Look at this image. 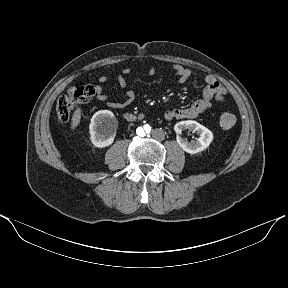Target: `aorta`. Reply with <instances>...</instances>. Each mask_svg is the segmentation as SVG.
<instances>
[{"label": "aorta", "mask_w": 288, "mask_h": 288, "mask_svg": "<svg viewBox=\"0 0 288 288\" xmlns=\"http://www.w3.org/2000/svg\"><path fill=\"white\" fill-rule=\"evenodd\" d=\"M153 131V128L149 124H144L138 127L137 134L141 138H146L151 136V132Z\"/></svg>", "instance_id": "1"}]
</instances>
